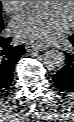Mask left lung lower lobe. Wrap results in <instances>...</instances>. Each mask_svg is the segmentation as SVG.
I'll return each instance as SVG.
<instances>
[{"label": "left lung lower lobe", "instance_id": "0a47b994", "mask_svg": "<svg viewBox=\"0 0 74 122\" xmlns=\"http://www.w3.org/2000/svg\"><path fill=\"white\" fill-rule=\"evenodd\" d=\"M69 40L74 46V35ZM52 78L59 90L74 93V53L66 54L65 66L54 74Z\"/></svg>", "mask_w": 74, "mask_h": 122}]
</instances>
